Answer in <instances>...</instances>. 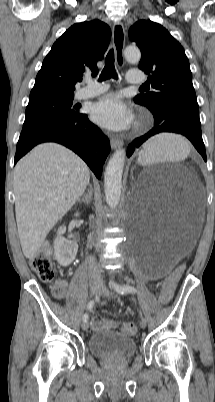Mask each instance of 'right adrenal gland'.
I'll list each match as a JSON object with an SVG mask.
<instances>
[{"label":"right adrenal gland","instance_id":"2a0ac1e0","mask_svg":"<svg viewBox=\"0 0 215 402\" xmlns=\"http://www.w3.org/2000/svg\"><path fill=\"white\" fill-rule=\"evenodd\" d=\"M88 191L85 193L81 198H79L78 202L79 203H84L86 205L90 204L92 201V196H93V189L92 185L89 183L88 184Z\"/></svg>","mask_w":215,"mask_h":402}]
</instances>
